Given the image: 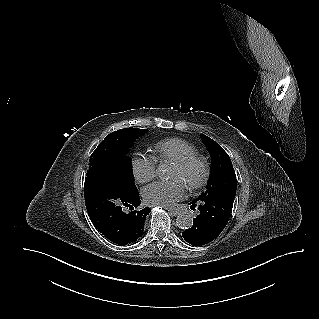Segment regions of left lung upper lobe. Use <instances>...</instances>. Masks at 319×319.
Masks as SVG:
<instances>
[{"label":"left lung upper lobe","mask_w":319,"mask_h":319,"mask_svg":"<svg viewBox=\"0 0 319 319\" xmlns=\"http://www.w3.org/2000/svg\"><path fill=\"white\" fill-rule=\"evenodd\" d=\"M212 157V169L206 190L194 201L226 192H236L237 179L228 154L214 140L201 134Z\"/></svg>","instance_id":"1"}]
</instances>
